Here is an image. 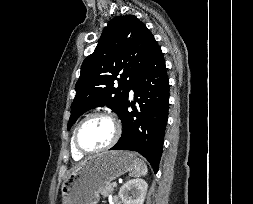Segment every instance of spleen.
<instances>
[{"instance_id":"3e777b00","label":"spleen","mask_w":253,"mask_h":204,"mask_svg":"<svg viewBox=\"0 0 253 204\" xmlns=\"http://www.w3.org/2000/svg\"><path fill=\"white\" fill-rule=\"evenodd\" d=\"M148 173V168L146 163L139 158H136L135 160V165L133 168V171L130 173V176L133 177H141L145 176Z\"/></svg>"}]
</instances>
